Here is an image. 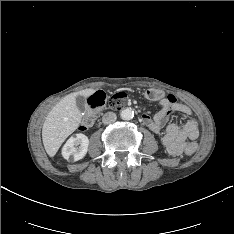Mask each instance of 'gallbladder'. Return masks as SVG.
I'll use <instances>...</instances> for the list:
<instances>
[{"instance_id": "1", "label": "gallbladder", "mask_w": 234, "mask_h": 234, "mask_svg": "<svg viewBox=\"0 0 234 234\" xmlns=\"http://www.w3.org/2000/svg\"><path fill=\"white\" fill-rule=\"evenodd\" d=\"M76 105L80 111H85L86 109V100L83 96L76 97Z\"/></svg>"}]
</instances>
